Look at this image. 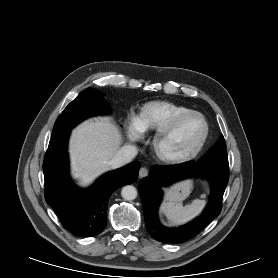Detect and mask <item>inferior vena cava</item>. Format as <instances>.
Wrapping results in <instances>:
<instances>
[{
	"label": "inferior vena cava",
	"mask_w": 278,
	"mask_h": 278,
	"mask_svg": "<svg viewBox=\"0 0 278 278\" xmlns=\"http://www.w3.org/2000/svg\"><path fill=\"white\" fill-rule=\"evenodd\" d=\"M137 153L138 151L135 146L124 145L118 150L113 159L110 161V165L112 168L121 167L129 163L137 155Z\"/></svg>",
	"instance_id": "inferior-vena-cava-1"
}]
</instances>
